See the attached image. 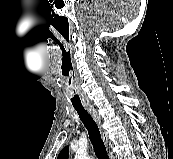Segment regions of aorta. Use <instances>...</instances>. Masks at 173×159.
Masks as SVG:
<instances>
[{"label":"aorta","mask_w":173,"mask_h":159,"mask_svg":"<svg viewBox=\"0 0 173 159\" xmlns=\"http://www.w3.org/2000/svg\"><path fill=\"white\" fill-rule=\"evenodd\" d=\"M74 159H90V157L83 151H77Z\"/></svg>","instance_id":"1"}]
</instances>
